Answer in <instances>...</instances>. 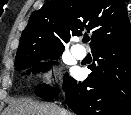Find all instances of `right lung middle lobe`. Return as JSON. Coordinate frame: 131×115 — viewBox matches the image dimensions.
<instances>
[{"label":"right lung middle lobe","mask_w":131,"mask_h":115,"mask_svg":"<svg viewBox=\"0 0 131 115\" xmlns=\"http://www.w3.org/2000/svg\"><path fill=\"white\" fill-rule=\"evenodd\" d=\"M61 54L62 52H32V53H29L15 61V70L20 71V70L29 68L31 66H33V72L38 71V70L40 71L48 70L51 66V62H39V61L43 59H47V58L57 59ZM69 79L70 77L68 76V74H65L63 86ZM34 92L37 96L43 99H53L58 95L57 88H52L47 85H43V86L40 85L39 87L36 88Z\"/></svg>","instance_id":"obj_1"}]
</instances>
